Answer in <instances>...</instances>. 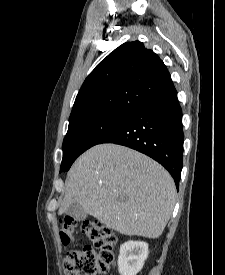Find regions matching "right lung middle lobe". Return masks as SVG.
Instances as JSON below:
<instances>
[{"instance_id": "right-lung-middle-lobe-1", "label": "right lung middle lobe", "mask_w": 225, "mask_h": 275, "mask_svg": "<svg viewBox=\"0 0 225 275\" xmlns=\"http://www.w3.org/2000/svg\"><path fill=\"white\" fill-rule=\"evenodd\" d=\"M129 113L127 111L102 112L69 122L68 132L63 141L60 172L67 171L79 155L98 144Z\"/></svg>"}]
</instances>
